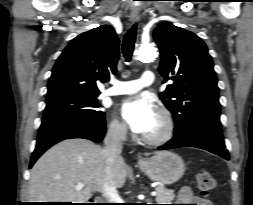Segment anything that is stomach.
Returning <instances> with one entry per match:
<instances>
[{"label": "stomach", "instance_id": "0dacf381", "mask_svg": "<svg viewBox=\"0 0 253 205\" xmlns=\"http://www.w3.org/2000/svg\"><path fill=\"white\" fill-rule=\"evenodd\" d=\"M139 166L149 178L163 184L178 181L185 172L182 158L170 151L157 152L140 162Z\"/></svg>", "mask_w": 253, "mask_h": 205}]
</instances>
